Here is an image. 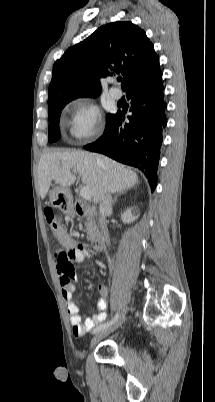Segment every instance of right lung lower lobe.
Masks as SVG:
<instances>
[{"mask_svg":"<svg viewBox=\"0 0 215 402\" xmlns=\"http://www.w3.org/2000/svg\"><path fill=\"white\" fill-rule=\"evenodd\" d=\"M163 91L161 77L127 92L132 111L129 123L124 121L125 113L118 111L106 122L104 134L94 143L84 146L89 151L103 153L142 170L151 191L157 183L162 130L167 124Z\"/></svg>","mask_w":215,"mask_h":402,"instance_id":"obj_1","label":"right lung lower lobe"}]
</instances>
